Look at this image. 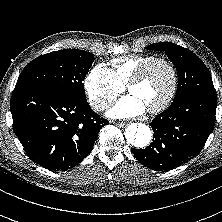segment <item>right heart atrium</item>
I'll list each match as a JSON object with an SVG mask.
<instances>
[{
	"mask_svg": "<svg viewBox=\"0 0 222 222\" xmlns=\"http://www.w3.org/2000/svg\"><path fill=\"white\" fill-rule=\"evenodd\" d=\"M84 88L93 109L102 112L123 92L124 85L105 64H97L87 74Z\"/></svg>",
	"mask_w": 222,
	"mask_h": 222,
	"instance_id": "1",
	"label": "right heart atrium"
}]
</instances>
